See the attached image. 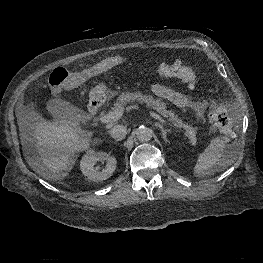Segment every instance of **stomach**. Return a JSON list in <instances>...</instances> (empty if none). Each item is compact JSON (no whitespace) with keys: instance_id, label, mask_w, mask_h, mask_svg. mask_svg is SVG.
Listing matches in <instances>:
<instances>
[{"instance_id":"1","label":"stomach","mask_w":263,"mask_h":263,"mask_svg":"<svg viewBox=\"0 0 263 263\" xmlns=\"http://www.w3.org/2000/svg\"><path fill=\"white\" fill-rule=\"evenodd\" d=\"M107 87L105 84H99L91 89L89 97L91 100L102 101L106 98Z\"/></svg>"}]
</instances>
